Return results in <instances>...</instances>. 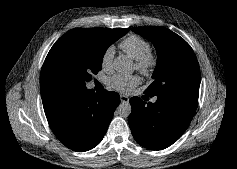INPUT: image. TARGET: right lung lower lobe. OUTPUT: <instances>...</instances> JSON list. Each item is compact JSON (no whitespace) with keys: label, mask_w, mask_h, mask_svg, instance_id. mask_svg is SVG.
<instances>
[{"label":"right lung lower lobe","mask_w":237,"mask_h":169,"mask_svg":"<svg viewBox=\"0 0 237 169\" xmlns=\"http://www.w3.org/2000/svg\"><path fill=\"white\" fill-rule=\"evenodd\" d=\"M48 123L56 137L68 148L83 152L103 139L116 107L119 94L75 86L52 87L42 94Z\"/></svg>","instance_id":"obj_1"}]
</instances>
